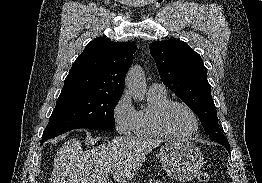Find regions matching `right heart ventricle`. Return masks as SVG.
<instances>
[{"label":"right heart ventricle","instance_id":"right-heart-ventricle-1","mask_svg":"<svg viewBox=\"0 0 262 183\" xmlns=\"http://www.w3.org/2000/svg\"><path fill=\"white\" fill-rule=\"evenodd\" d=\"M170 101L166 91L148 92V104L137 111L136 123L133 133L142 138H162L164 137L157 128L156 116L160 108Z\"/></svg>","mask_w":262,"mask_h":183}]
</instances>
